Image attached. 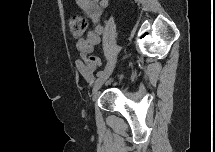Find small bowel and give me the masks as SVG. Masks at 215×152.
I'll return each instance as SVG.
<instances>
[{
    "mask_svg": "<svg viewBox=\"0 0 215 152\" xmlns=\"http://www.w3.org/2000/svg\"><path fill=\"white\" fill-rule=\"evenodd\" d=\"M77 5L86 13L92 20L93 28L88 32L85 38L77 41L76 47L81 56L93 51L94 47L100 43L101 34L104 26L100 22L101 16L108 6V0H76ZM76 70L84 77L88 83H92V75L87 72L86 65L82 60L75 61Z\"/></svg>",
    "mask_w": 215,
    "mask_h": 152,
    "instance_id": "small-bowel-1",
    "label": "small bowel"
}]
</instances>
